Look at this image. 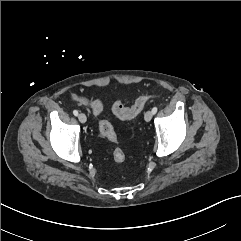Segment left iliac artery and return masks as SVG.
<instances>
[{"label": "left iliac artery", "instance_id": "44dca946", "mask_svg": "<svg viewBox=\"0 0 241 241\" xmlns=\"http://www.w3.org/2000/svg\"><path fill=\"white\" fill-rule=\"evenodd\" d=\"M157 110H158L157 107H153L152 113H153V114H156Z\"/></svg>", "mask_w": 241, "mask_h": 241}]
</instances>
